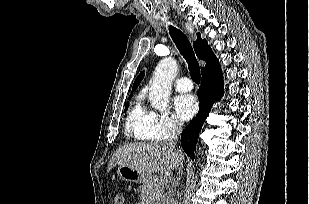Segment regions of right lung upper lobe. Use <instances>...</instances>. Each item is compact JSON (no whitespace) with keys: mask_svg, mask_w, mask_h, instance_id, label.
Segmentation results:
<instances>
[{"mask_svg":"<svg viewBox=\"0 0 309 204\" xmlns=\"http://www.w3.org/2000/svg\"><path fill=\"white\" fill-rule=\"evenodd\" d=\"M194 50L198 58L205 60L206 65L202 70V73L216 69L220 67L218 60L216 59L214 53L211 51L210 46L207 45V41L205 39H201L200 34L197 35V40L193 43ZM143 72L135 80L133 90L139 85L140 81L142 80ZM132 94L129 98H131Z\"/></svg>","mask_w":309,"mask_h":204,"instance_id":"cb5924a9","label":"right lung upper lobe"}]
</instances>
